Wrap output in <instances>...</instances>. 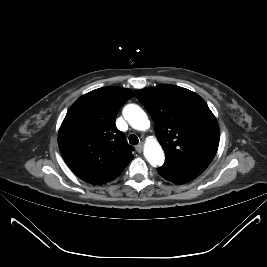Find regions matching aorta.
Returning <instances> with one entry per match:
<instances>
[{
  "label": "aorta",
  "mask_w": 267,
  "mask_h": 267,
  "mask_svg": "<svg viewBox=\"0 0 267 267\" xmlns=\"http://www.w3.org/2000/svg\"><path fill=\"white\" fill-rule=\"evenodd\" d=\"M123 116L129 125L139 131L149 128L150 122L144 110L136 104H128L123 109ZM144 156L152 166H161L164 163V153L157 140L146 142Z\"/></svg>",
  "instance_id": "762f6f07"
}]
</instances>
